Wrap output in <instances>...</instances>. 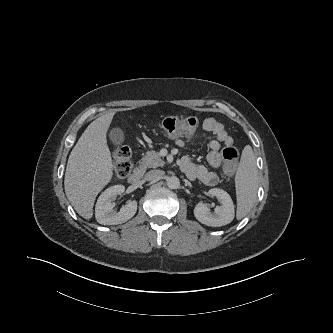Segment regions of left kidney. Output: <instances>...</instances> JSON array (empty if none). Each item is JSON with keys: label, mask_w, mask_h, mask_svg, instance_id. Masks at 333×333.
<instances>
[{"label": "left kidney", "mask_w": 333, "mask_h": 333, "mask_svg": "<svg viewBox=\"0 0 333 333\" xmlns=\"http://www.w3.org/2000/svg\"><path fill=\"white\" fill-rule=\"evenodd\" d=\"M209 193L217 197L221 205L217 206L212 214L205 204L198 203L194 209L195 218L202 224L212 227H220L232 222L235 211L230 195L219 188L210 189Z\"/></svg>", "instance_id": "1"}]
</instances>
